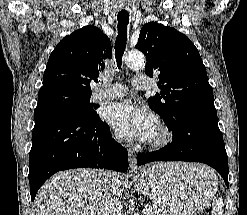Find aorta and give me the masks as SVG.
Masks as SVG:
<instances>
[{
  "label": "aorta",
  "mask_w": 247,
  "mask_h": 215,
  "mask_svg": "<svg viewBox=\"0 0 247 215\" xmlns=\"http://www.w3.org/2000/svg\"><path fill=\"white\" fill-rule=\"evenodd\" d=\"M125 63L128 67L138 69L145 64V56L138 51L129 52L125 56Z\"/></svg>",
  "instance_id": "aorta-1"
}]
</instances>
